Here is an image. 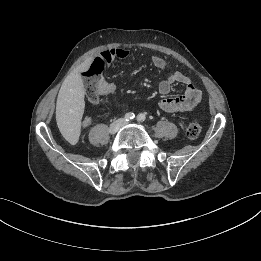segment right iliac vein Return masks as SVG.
<instances>
[{
    "label": "right iliac vein",
    "instance_id": "1",
    "mask_svg": "<svg viewBox=\"0 0 261 261\" xmlns=\"http://www.w3.org/2000/svg\"><path fill=\"white\" fill-rule=\"evenodd\" d=\"M123 124H124L123 119L114 121L109 127V133L115 134L123 126Z\"/></svg>",
    "mask_w": 261,
    "mask_h": 261
}]
</instances>
